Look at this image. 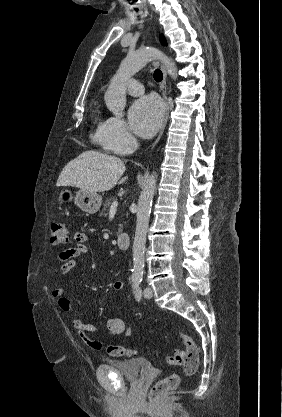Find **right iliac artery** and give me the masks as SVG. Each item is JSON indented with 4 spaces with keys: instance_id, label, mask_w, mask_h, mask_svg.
<instances>
[{
    "instance_id": "1",
    "label": "right iliac artery",
    "mask_w": 282,
    "mask_h": 417,
    "mask_svg": "<svg viewBox=\"0 0 282 417\" xmlns=\"http://www.w3.org/2000/svg\"><path fill=\"white\" fill-rule=\"evenodd\" d=\"M141 283V279H133V286L134 288H138L139 284Z\"/></svg>"
}]
</instances>
